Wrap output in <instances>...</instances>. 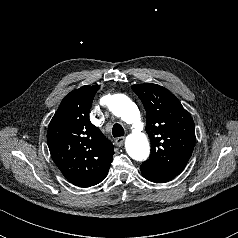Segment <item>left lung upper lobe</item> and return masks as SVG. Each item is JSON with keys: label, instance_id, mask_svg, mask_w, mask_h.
I'll use <instances>...</instances> for the list:
<instances>
[{"label": "left lung upper lobe", "instance_id": "5c2ea615", "mask_svg": "<svg viewBox=\"0 0 238 238\" xmlns=\"http://www.w3.org/2000/svg\"><path fill=\"white\" fill-rule=\"evenodd\" d=\"M147 114L146 131L151 155L144 163L155 168L181 173L195 145V125L180 101L156 84L132 86Z\"/></svg>", "mask_w": 238, "mask_h": 238}]
</instances>
